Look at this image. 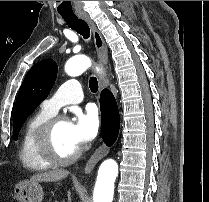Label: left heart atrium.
<instances>
[{
    "instance_id": "left-heart-atrium-1",
    "label": "left heart atrium",
    "mask_w": 209,
    "mask_h": 202,
    "mask_svg": "<svg viewBox=\"0 0 209 202\" xmlns=\"http://www.w3.org/2000/svg\"><path fill=\"white\" fill-rule=\"evenodd\" d=\"M68 124L72 140L80 147L96 135L98 113L95 108H87L85 112H77Z\"/></svg>"
}]
</instances>
